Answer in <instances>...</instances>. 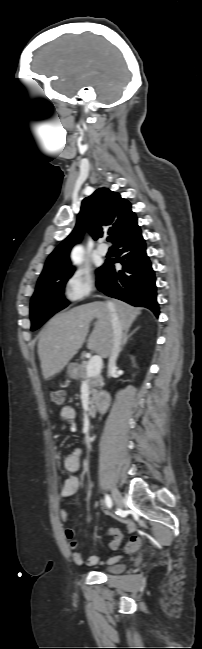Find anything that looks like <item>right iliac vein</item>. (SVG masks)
<instances>
[{
  "instance_id": "right-iliac-vein-1",
  "label": "right iliac vein",
  "mask_w": 202,
  "mask_h": 649,
  "mask_svg": "<svg viewBox=\"0 0 202 649\" xmlns=\"http://www.w3.org/2000/svg\"><path fill=\"white\" fill-rule=\"evenodd\" d=\"M112 498H113V500H114L115 505H116L118 508H122V507H123V505H124V499H123L121 493L118 491V489H117L116 487H113V488H112Z\"/></svg>"
}]
</instances>
